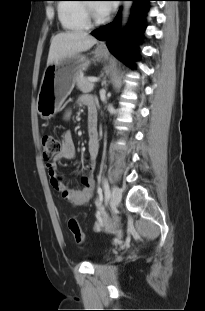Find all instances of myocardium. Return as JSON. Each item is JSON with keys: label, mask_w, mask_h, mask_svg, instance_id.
Returning a JSON list of instances; mask_svg holds the SVG:
<instances>
[{"label": "myocardium", "mask_w": 205, "mask_h": 311, "mask_svg": "<svg viewBox=\"0 0 205 311\" xmlns=\"http://www.w3.org/2000/svg\"><path fill=\"white\" fill-rule=\"evenodd\" d=\"M84 10L89 25H99L104 21V18L97 13L92 4H84Z\"/></svg>", "instance_id": "obj_1"}]
</instances>
